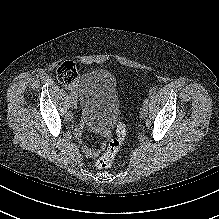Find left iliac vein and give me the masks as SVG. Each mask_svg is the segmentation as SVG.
Listing matches in <instances>:
<instances>
[{
  "instance_id": "left-iliac-vein-1",
  "label": "left iliac vein",
  "mask_w": 219,
  "mask_h": 219,
  "mask_svg": "<svg viewBox=\"0 0 219 219\" xmlns=\"http://www.w3.org/2000/svg\"><path fill=\"white\" fill-rule=\"evenodd\" d=\"M147 107L142 106L141 110H140V117L142 119H145L147 117Z\"/></svg>"
}]
</instances>
